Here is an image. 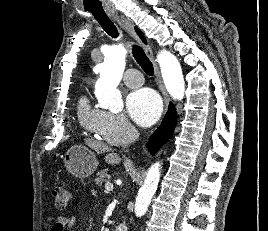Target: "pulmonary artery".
Masks as SVG:
<instances>
[{"mask_svg": "<svg viewBox=\"0 0 268 231\" xmlns=\"http://www.w3.org/2000/svg\"><path fill=\"white\" fill-rule=\"evenodd\" d=\"M122 80L128 87H138L143 83L142 73L136 68L127 69Z\"/></svg>", "mask_w": 268, "mask_h": 231, "instance_id": "obj_1", "label": "pulmonary artery"}]
</instances>
